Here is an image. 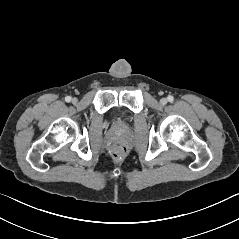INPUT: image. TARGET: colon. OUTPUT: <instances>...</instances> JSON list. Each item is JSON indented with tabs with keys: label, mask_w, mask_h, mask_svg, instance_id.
Returning a JSON list of instances; mask_svg holds the SVG:
<instances>
[{
	"label": "colon",
	"mask_w": 239,
	"mask_h": 239,
	"mask_svg": "<svg viewBox=\"0 0 239 239\" xmlns=\"http://www.w3.org/2000/svg\"><path fill=\"white\" fill-rule=\"evenodd\" d=\"M113 155L116 158H123L126 155L127 149L122 143H115L113 145Z\"/></svg>",
	"instance_id": "colon-1"
}]
</instances>
